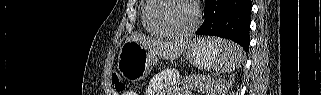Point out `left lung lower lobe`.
<instances>
[{"label":"left lung lower lobe","mask_w":321,"mask_h":95,"mask_svg":"<svg viewBox=\"0 0 321 95\" xmlns=\"http://www.w3.org/2000/svg\"><path fill=\"white\" fill-rule=\"evenodd\" d=\"M251 9V0H206L205 20L196 34L231 39L247 51Z\"/></svg>","instance_id":"1"}]
</instances>
